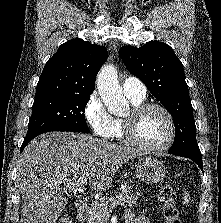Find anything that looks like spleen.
Listing matches in <instances>:
<instances>
[{
    "label": "spleen",
    "instance_id": "spleen-1",
    "mask_svg": "<svg viewBox=\"0 0 221 223\" xmlns=\"http://www.w3.org/2000/svg\"><path fill=\"white\" fill-rule=\"evenodd\" d=\"M188 197H189V193L188 192H186V191H184V196H183V203L187 206L188 204H189V199H188ZM189 206V205H188Z\"/></svg>",
    "mask_w": 221,
    "mask_h": 223
}]
</instances>
